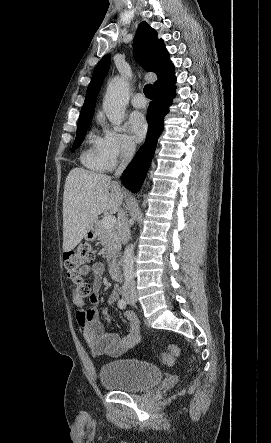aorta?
Listing matches in <instances>:
<instances>
[{"label": "aorta", "mask_w": 271, "mask_h": 443, "mask_svg": "<svg viewBox=\"0 0 271 443\" xmlns=\"http://www.w3.org/2000/svg\"><path fill=\"white\" fill-rule=\"evenodd\" d=\"M129 98V84L121 76H114L110 80L103 100V110L111 124L120 126L124 120L126 106ZM123 273L126 281H132L134 271V245L130 243L125 247L123 255Z\"/></svg>", "instance_id": "1"}]
</instances>
